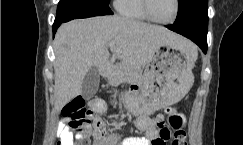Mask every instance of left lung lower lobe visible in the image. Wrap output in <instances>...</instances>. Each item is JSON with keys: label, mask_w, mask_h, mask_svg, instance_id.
Instances as JSON below:
<instances>
[{"label": "left lung lower lobe", "mask_w": 243, "mask_h": 145, "mask_svg": "<svg viewBox=\"0 0 243 145\" xmlns=\"http://www.w3.org/2000/svg\"><path fill=\"white\" fill-rule=\"evenodd\" d=\"M167 28L191 39L204 53L207 52V33L200 26L193 23V21L188 22L183 20L178 14L174 24L167 26Z\"/></svg>", "instance_id": "obj_1"}]
</instances>
